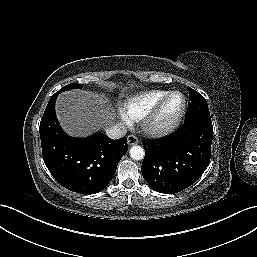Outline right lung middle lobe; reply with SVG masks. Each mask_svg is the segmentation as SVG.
Wrapping results in <instances>:
<instances>
[{
  "label": "right lung middle lobe",
  "mask_w": 257,
  "mask_h": 257,
  "mask_svg": "<svg viewBox=\"0 0 257 257\" xmlns=\"http://www.w3.org/2000/svg\"><path fill=\"white\" fill-rule=\"evenodd\" d=\"M73 88H82V85L80 84H76V83H72V84H69V85H66L64 86L63 88H61L58 92H63V91H66V90H70V89H73Z\"/></svg>",
  "instance_id": "right-lung-middle-lobe-1"
}]
</instances>
